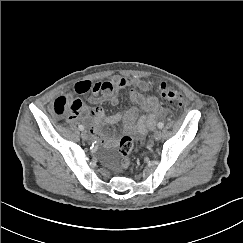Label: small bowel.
Instances as JSON below:
<instances>
[{
    "label": "small bowel",
    "mask_w": 243,
    "mask_h": 243,
    "mask_svg": "<svg viewBox=\"0 0 243 243\" xmlns=\"http://www.w3.org/2000/svg\"><path fill=\"white\" fill-rule=\"evenodd\" d=\"M126 87H131L130 99L134 105L123 112L106 116L101 104L109 102L116 105L120 90ZM150 90L151 85L141 78L114 76L105 81L94 83L79 81L75 84L76 94H90L88 98L89 103L92 104L90 108L74 95H60L55 101H63L65 106L69 107L71 121H91L89 131L97 136L103 146L115 147L117 138L106 134L103 131L105 127L122 122L125 133L139 140L148 130L155 127L158 118L168 113V109L162 106L155 96L145 94Z\"/></svg>",
    "instance_id": "obj_1"
}]
</instances>
